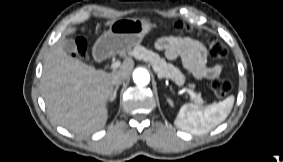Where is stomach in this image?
I'll return each mask as SVG.
<instances>
[{
    "mask_svg": "<svg viewBox=\"0 0 283 162\" xmlns=\"http://www.w3.org/2000/svg\"><path fill=\"white\" fill-rule=\"evenodd\" d=\"M154 28L145 18H122L115 20L107 32L95 43L93 51L97 58L125 53L139 46L145 35Z\"/></svg>",
    "mask_w": 283,
    "mask_h": 162,
    "instance_id": "obj_1",
    "label": "stomach"
}]
</instances>
